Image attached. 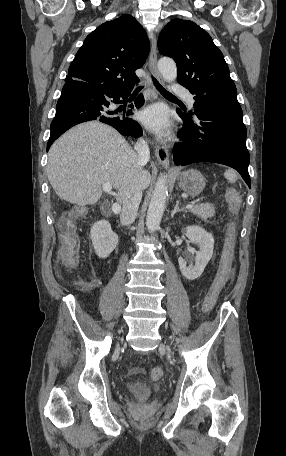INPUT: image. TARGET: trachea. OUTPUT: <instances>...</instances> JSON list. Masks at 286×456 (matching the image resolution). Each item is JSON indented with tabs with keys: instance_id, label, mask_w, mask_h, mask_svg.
<instances>
[{
	"instance_id": "trachea-1",
	"label": "trachea",
	"mask_w": 286,
	"mask_h": 456,
	"mask_svg": "<svg viewBox=\"0 0 286 456\" xmlns=\"http://www.w3.org/2000/svg\"><path fill=\"white\" fill-rule=\"evenodd\" d=\"M152 79H153L154 85L156 86V88L159 90V92L163 96L176 98L174 95H172L170 92H168L165 88H163L162 85L154 77H152ZM142 88H143L142 86L137 87L134 92H139Z\"/></svg>"
}]
</instances>
